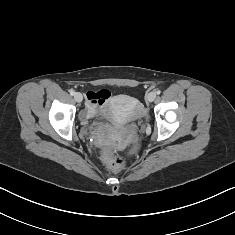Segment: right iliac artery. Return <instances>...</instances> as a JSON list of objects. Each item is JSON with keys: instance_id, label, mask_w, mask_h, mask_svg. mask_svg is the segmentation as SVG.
Wrapping results in <instances>:
<instances>
[{"instance_id": "1", "label": "right iliac artery", "mask_w": 235, "mask_h": 235, "mask_svg": "<svg viewBox=\"0 0 235 235\" xmlns=\"http://www.w3.org/2000/svg\"><path fill=\"white\" fill-rule=\"evenodd\" d=\"M69 92H70V95H74L75 94V91L73 89H71Z\"/></svg>"}]
</instances>
